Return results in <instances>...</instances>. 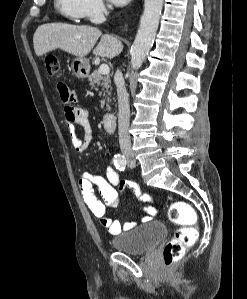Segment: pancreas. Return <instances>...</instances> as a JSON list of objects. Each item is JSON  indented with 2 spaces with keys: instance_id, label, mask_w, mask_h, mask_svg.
<instances>
[{
  "instance_id": "1",
  "label": "pancreas",
  "mask_w": 247,
  "mask_h": 299,
  "mask_svg": "<svg viewBox=\"0 0 247 299\" xmlns=\"http://www.w3.org/2000/svg\"><path fill=\"white\" fill-rule=\"evenodd\" d=\"M90 85L99 92L100 95L103 93L104 99L101 100V108H104L105 103L107 104V110H110L108 103L110 102L109 96H111V80L109 75H102L99 71L95 70L88 78Z\"/></svg>"
}]
</instances>
